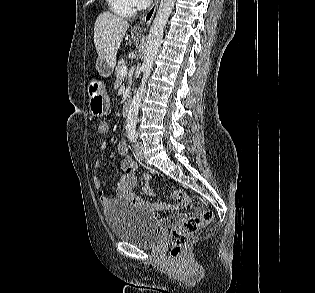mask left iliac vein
Masks as SVG:
<instances>
[{
	"mask_svg": "<svg viewBox=\"0 0 315 293\" xmlns=\"http://www.w3.org/2000/svg\"><path fill=\"white\" fill-rule=\"evenodd\" d=\"M135 153L136 156L139 160H144V148H143V144L141 142H138L135 145Z\"/></svg>",
	"mask_w": 315,
	"mask_h": 293,
	"instance_id": "left-iliac-vein-1",
	"label": "left iliac vein"
}]
</instances>
